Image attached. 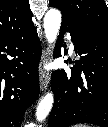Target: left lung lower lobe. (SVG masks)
I'll return each mask as SVG.
<instances>
[{
  "instance_id": "obj_1",
  "label": "left lung lower lobe",
  "mask_w": 108,
  "mask_h": 127,
  "mask_svg": "<svg viewBox=\"0 0 108 127\" xmlns=\"http://www.w3.org/2000/svg\"><path fill=\"white\" fill-rule=\"evenodd\" d=\"M69 32L75 52L81 56L71 68L54 71L51 86L55 94L48 127L90 123L108 127V36L91 34L73 22L62 20L60 37ZM57 41L54 57L61 56Z\"/></svg>"
}]
</instances>
